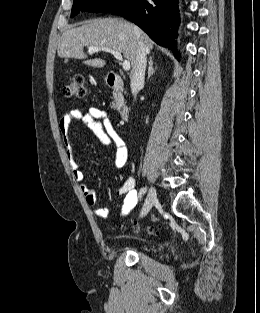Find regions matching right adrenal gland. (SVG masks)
Masks as SVG:
<instances>
[{"label":"right adrenal gland","mask_w":260,"mask_h":313,"mask_svg":"<svg viewBox=\"0 0 260 313\" xmlns=\"http://www.w3.org/2000/svg\"><path fill=\"white\" fill-rule=\"evenodd\" d=\"M157 67H153V57L150 56L149 58V68H148V76H147V79H149L151 77V75L153 74L154 70L156 69Z\"/></svg>","instance_id":"2a0ac1e0"}]
</instances>
